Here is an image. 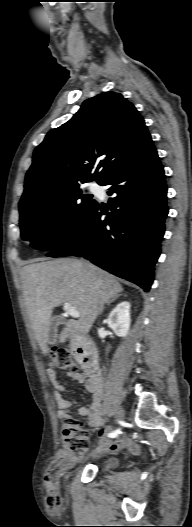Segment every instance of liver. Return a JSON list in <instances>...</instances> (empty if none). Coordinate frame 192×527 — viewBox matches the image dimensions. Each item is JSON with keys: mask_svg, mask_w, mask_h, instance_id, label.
Wrapping results in <instances>:
<instances>
[{"mask_svg": "<svg viewBox=\"0 0 192 527\" xmlns=\"http://www.w3.org/2000/svg\"><path fill=\"white\" fill-rule=\"evenodd\" d=\"M20 275L26 310L44 355L49 353L47 332L55 307L67 302L80 313L78 320L66 322L60 335V343H64L71 334H87L99 308L123 291L112 275L74 258L28 264Z\"/></svg>", "mask_w": 192, "mask_h": 527, "instance_id": "6515ba94", "label": "liver"}]
</instances>
